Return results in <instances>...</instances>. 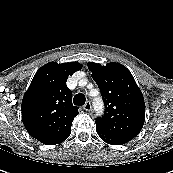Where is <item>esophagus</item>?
<instances>
[{"label": "esophagus", "mask_w": 173, "mask_h": 173, "mask_svg": "<svg viewBox=\"0 0 173 173\" xmlns=\"http://www.w3.org/2000/svg\"><path fill=\"white\" fill-rule=\"evenodd\" d=\"M91 108H92V106H91V103H90L89 101H87V102L85 103V105L83 106V109H84L85 111H90Z\"/></svg>", "instance_id": "obj_1"}]
</instances>
